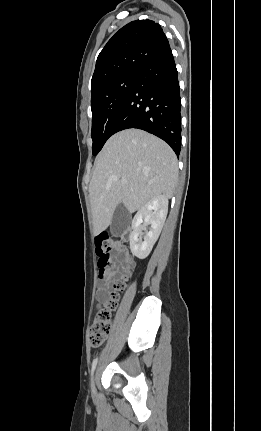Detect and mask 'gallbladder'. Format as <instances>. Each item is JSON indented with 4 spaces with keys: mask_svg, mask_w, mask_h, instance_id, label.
I'll return each mask as SVG.
<instances>
[{
    "mask_svg": "<svg viewBox=\"0 0 261 431\" xmlns=\"http://www.w3.org/2000/svg\"><path fill=\"white\" fill-rule=\"evenodd\" d=\"M130 213L123 204H119L113 214L110 224V232L114 236H120L128 228Z\"/></svg>",
    "mask_w": 261,
    "mask_h": 431,
    "instance_id": "gallbladder-1",
    "label": "gallbladder"
}]
</instances>
